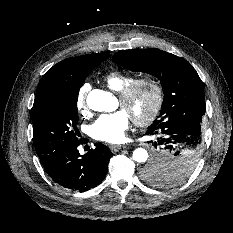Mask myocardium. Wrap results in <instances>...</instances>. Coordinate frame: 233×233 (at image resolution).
<instances>
[{"label": "myocardium", "instance_id": "obj_1", "mask_svg": "<svg viewBox=\"0 0 233 233\" xmlns=\"http://www.w3.org/2000/svg\"><path fill=\"white\" fill-rule=\"evenodd\" d=\"M142 86H147L152 90L153 99L150 110L143 117H132L134 124L138 127H146L152 124L159 116L164 104V89L161 81L154 75L148 74L132 80L119 92V101L122 105H127L131 101L135 92Z\"/></svg>", "mask_w": 233, "mask_h": 233}]
</instances>
